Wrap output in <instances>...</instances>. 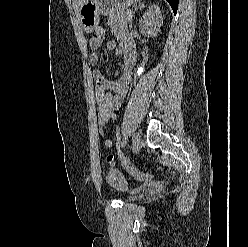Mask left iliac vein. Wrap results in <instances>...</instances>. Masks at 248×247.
I'll return each mask as SVG.
<instances>
[{"instance_id": "4c4485c4", "label": "left iliac vein", "mask_w": 248, "mask_h": 247, "mask_svg": "<svg viewBox=\"0 0 248 247\" xmlns=\"http://www.w3.org/2000/svg\"><path fill=\"white\" fill-rule=\"evenodd\" d=\"M141 145V134L139 132H135L132 138V147L134 150H138Z\"/></svg>"}]
</instances>
